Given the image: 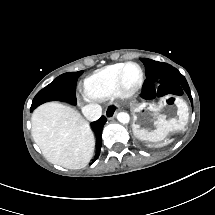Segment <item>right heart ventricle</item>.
<instances>
[{
    "instance_id": "1",
    "label": "right heart ventricle",
    "mask_w": 215,
    "mask_h": 215,
    "mask_svg": "<svg viewBox=\"0 0 215 215\" xmlns=\"http://www.w3.org/2000/svg\"><path fill=\"white\" fill-rule=\"evenodd\" d=\"M121 65L122 63H115L104 66L85 79V86L90 88V96L94 100H103L110 95L114 86L115 73L121 70Z\"/></svg>"
}]
</instances>
